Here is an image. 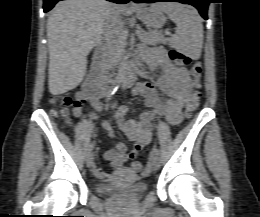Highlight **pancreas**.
<instances>
[{
	"instance_id": "obj_1",
	"label": "pancreas",
	"mask_w": 260,
	"mask_h": 217,
	"mask_svg": "<svg viewBox=\"0 0 260 217\" xmlns=\"http://www.w3.org/2000/svg\"><path fill=\"white\" fill-rule=\"evenodd\" d=\"M128 36V32L126 30H122L118 37L115 44L109 48L108 51V58L110 59H117L123 51V48L126 45V39ZM139 38L142 42L148 45H157L159 43H165V39L163 36L158 33L157 31H149L142 34H139Z\"/></svg>"
}]
</instances>
